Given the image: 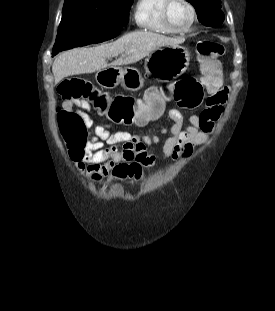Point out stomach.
Here are the masks:
<instances>
[{
	"label": "stomach",
	"instance_id": "1",
	"mask_svg": "<svg viewBox=\"0 0 275 311\" xmlns=\"http://www.w3.org/2000/svg\"><path fill=\"white\" fill-rule=\"evenodd\" d=\"M189 49L176 45L162 46L150 53L145 59L147 74L168 82L183 74L190 62ZM97 83L104 88H113L118 84L127 90L135 91L144 84V79L135 68L107 67L97 71Z\"/></svg>",
	"mask_w": 275,
	"mask_h": 311
}]
</instances>
